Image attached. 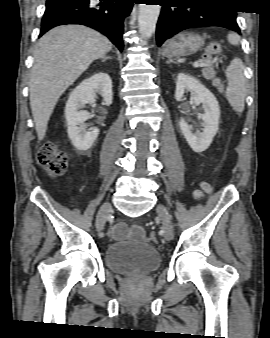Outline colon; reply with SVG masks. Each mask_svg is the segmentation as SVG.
Instances as JSON below:
<instances>
[{
	"label": "colon",
	"instance_id": "obj_1",
	"mask_svg": "<svg viewBox=\"0 0 270 338\" xmlns=\"http://www.w3.org/2000/svg\"><path fill=\"white\" fill-rule=\"evenodd\" d=\"M223 53V47L220 44L213 43L206 47L204 51V60L207 63H212L218 60ZM206 73H213L214 69L212 66L205 68ZM38 162L45 172L51 178H58L64 175L68 157L65 151L60 149L56 144L48 142L43 144L37 154ZM211 191V185L208 183H202L200 190L197 192V197H202ZM151 242H156L157 238L151 235L148 238Z\"/></svg>",
	"mask_w": 270,
	"mask_h": 338
}]
</instances>
